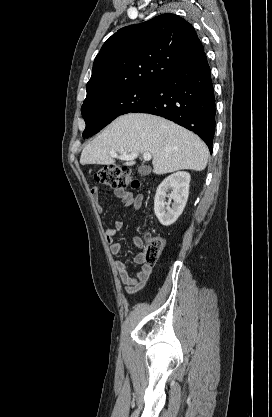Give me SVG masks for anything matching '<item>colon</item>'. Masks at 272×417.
<instances>
[{"label":"colon","mask_w":272,"mask_h":417,"mask_svg":"<svg viewBox=\"0 0 272 417\" xmlns=\"http://www.w3.org/2000/svg\"><path fill=\"white\" fill-rule=\"evenodd\" d=\"M93 177L98 183L113 188L140 187V182L133 177L129 169L112 164L104 165L97 169ZM165 248L166 240L163 237L155 236L149 238L143 254L144 262L150 266L155 264Z\"/></svg>","instance_id":"1"}]
</instances>
